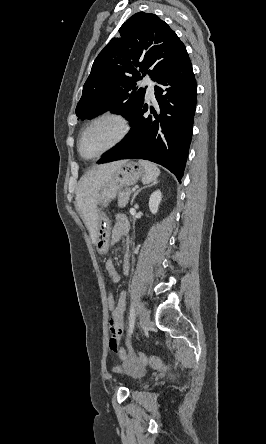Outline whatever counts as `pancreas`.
I'll list each match as a JSON object with an SVG mask.
<instances>
[{
	"instance_id": "pancreas-1",
	"label": "pancreas",
	"mask_w": 266,
	"mask_h": 444,
	"mask_svg": "<svg viewBox=\"0 0 266 444\" xmlns=\"http://www.w3.org/2000/svg\"><path fill=\"white\" fill-rule=\"evenodd\" d=\"M131 193L132 191L130 189H126L123 192H119L118 207L123 208L128 204Z\"/></svg>"
}]
</instances>
